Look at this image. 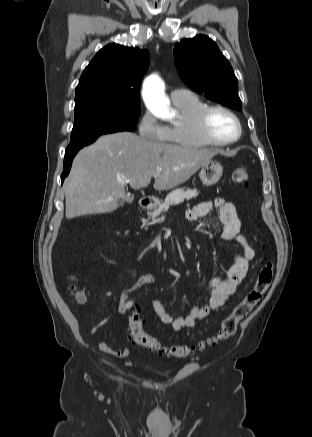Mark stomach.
<instances>
[{"instance_id":"stomach-1","label":"stomach","mask_w":312,"mask_h":437,"mask_svg":"<svg viewBox=\"0 0 312 437\" xmlns=\"http://www.w3.org/2000/svg\"><path fill=\"white\" fill-rule=\"evenodd\" d=\"M223 168L217 161L210 160L201 167L199 173L202 183L206 186L215 185L221 178Z\"/></svg>"}]
</instances>
